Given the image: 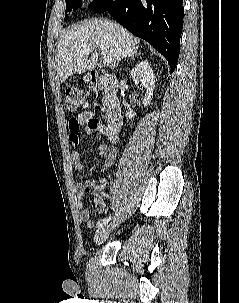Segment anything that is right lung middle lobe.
<instances>
[{"mask_svg":"<svg viewBox=\"0 0 239 303\" xmlns=\"http://www.w3.org/2000/svg\"><path fill=\"white\" fill-rule=\"evenodd\" d=\"M106 0H94L93 3L90 5L92 10L99 7L103 4ZM81 0H66V13L70 12L71 10H76L81 7ZM68 19V15H65V20Z\"/></svg>","mask_w":239,"mask_h":303,"instance_id":"1","label":"right lung middle lobe"}]
</instances>
